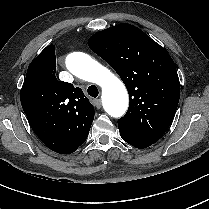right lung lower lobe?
I'll return each instance as SVG.
<instances>
[{
	"label": "right lung lower lobe",
	"mask_w": 209,
	"mask_h": 209,
	"mask_svg": "<svg viewBox=\"0 0 209 209\" xmlns=\"http://www.w3.org/2000/svg\"><path fill=\"white\" fill-rule=\"evenodd\" d=\"M40 116L44 117L43 114H40ZM28 121L35 132V134L39 137V139L51 150L60 153V154H70L74 152L75 150L66 146L65 144H60L56 142L51 135L54 133V129L52 128H46L43 126H40L36 123H33L29 120Z\"/></svg>",
	"instance_id": "98d812e1"
}]
</instances>
